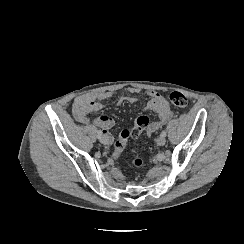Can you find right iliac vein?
<instances>
[{
    "label": "right iliac vein",
    "mask_w": 244,
    "mask_h": 244,
    "mask_svg": "<svg viewBox=\"0 0 244 244\" xmlns=\"http://www.w3.org/2000/svg\"><path fill=\"white\" fill-rule=\"evenodd\" d=\"M100 142L104 145L108 144L109 142V137L107 135H103L101 138H100Z\"/></svg>",
    "instance_id": "right-iliac-vein-1"
}]
</instances>
